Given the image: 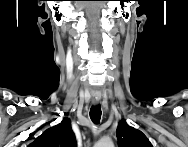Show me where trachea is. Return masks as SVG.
Returning <instances> with one entry per match:
<instances>
[{"mask_svg": "<svg viewBox=\"0 0 188 147\" xmlns=\"http://www.w3.org/2000/svg\"><path fill=\"white\" fill-rule=\"evenodd\" d=\"M101 107L100 105L97 106H92L90 109V118L94 123H99L100 119H101Z\"/></svg>", "mask_w": 188, "mask_h": 147, "instance_id": "1", "label": "trachea"}]
</instances>
